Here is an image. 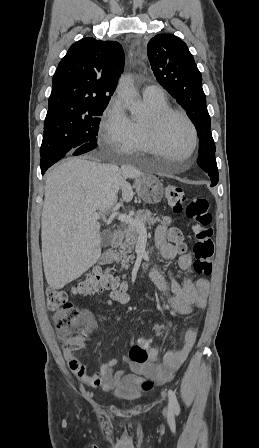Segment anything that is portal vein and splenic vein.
I'll return each instance as SVG.
<instances>
[{"instance_id": "18ae733b", "label": "portal vein and splenic vein", "mask_w": 259, "mask_h": 448, "mask_svg": "<svg viewBox=\"0 0 259 448\" xmlns=\"http://www.w3.org/2000/svg\"><path fill=\"white\" fill-rule=\"evenodd\" d=\"M92 218H94V220H101V216L100 214H97V212H94ZM117 220H120V222H125V224H129V226H135L139 234H146L145 224H142V222H136V220H134L132 216H126V214H119Z\"/></svg>"}]
</instances>
